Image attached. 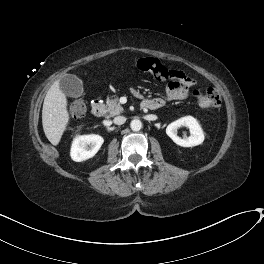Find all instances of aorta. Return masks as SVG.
Instances as JSON below:
<instances>
[{"mask_svg": "<svg viewBox=\"0 0 264 264\" xmlns=\"http://www.w3.org/2000/svg\"><path fill=\"white\" fill-rule=\"evenodd\" d=\"M130 127L133 131H139L142 128V123L138 119H134L130 123Z\"/></svg>", "mask_w": 264, "mask_h": 264, "instance_id": "762f6f07", "label": "aorta"}]
</instances>
